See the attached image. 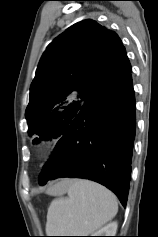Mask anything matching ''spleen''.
Returning a JSON list of instances; mask_svg holds the SVG:
<instances>
[{"label":"spleen","instance_id":"1","mask_svg":"<svg viewBox=\"0 0 158 237\" xmlns=\"http://www.w3.org/2000/svg\"><path fill=\"white\" fill-rule=\"evenodd\" d=\"M68 196L54 199L47 213V236H88L109 222L118 211L116 196L104 186L75 179Z\"/></svg>","mask_w":158,"mask_h":237}]
</instances>
